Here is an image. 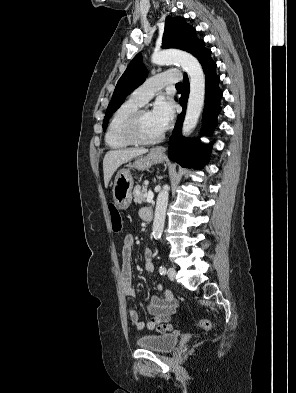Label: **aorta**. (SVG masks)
I'll return each instance as SVG.
<instances>
[{
    "label": "aorta",
    "instance_id": "aorta-1",
    "mask_svg": "<svg viewBox=\"0 0 296 393\" xmlns=\"http://www.w3.org/2000/svg\"><path fill=\"white\" fill-rule=\"evenodd\" d=\"M151 60L157 65L178 63L188 74L190 93L182 126V133L183 135L190 134L198 123L205 100V75L199 61L187 52L171 49L154 52ZM168 198L169 187L165 185L158 194L156 201L152 232L155 239L160 238L163 232Z\"/></svg>",
    "mask_w": 296,
    "mask_h": 393
}]
</instances>
